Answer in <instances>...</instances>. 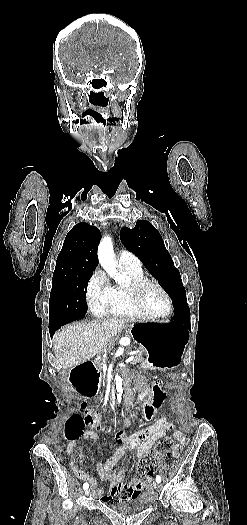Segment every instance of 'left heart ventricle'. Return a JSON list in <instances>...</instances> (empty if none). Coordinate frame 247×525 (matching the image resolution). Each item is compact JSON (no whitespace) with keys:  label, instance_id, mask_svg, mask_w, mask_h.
Masks as SVG:
<instances>
[{"label":"left heart ventricle","instance_id":"1","mask_svg":"<svg viewBox=\"0 0 247 525\" xmlns=\"http://www.w3.org/2000/svg\"><path fill=\"white\" fill-rule=\"evenodd\" d=\"M140 296L144 306L151 312L158 313L166 308L167 302L164 294L152 283L143 286Z\"/></svg>","mask_w":247,"mask_h":525}]
</instances>
